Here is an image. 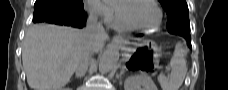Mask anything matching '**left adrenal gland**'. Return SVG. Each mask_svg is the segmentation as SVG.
I'll return each mask as SVG.
<instances>
[{"label": "left adrenal gland", "mask_w": 228, "mask_h": 90, "mask_svg": "<svg viewBox=\"0 0 228 90\" xmlns=\"http://www.w3.org/2000/svg\"><path fill=\"white\" fill-rule=\"evenodd\" d=\"M124 72H125V69L123 68L120 72V78H122V75L124 74Z\"/></svg>", "instance_id": "1"}]
</instances>
